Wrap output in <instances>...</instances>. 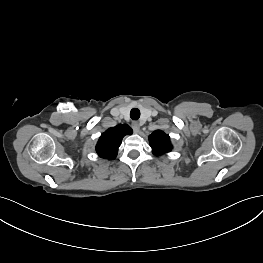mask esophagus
Here are the masks:
<instances>
[{
	"label": "esophagus",
	"mask_w": 263,
	"mask_h": 263,
	"mask_svg": "<svg viewBox=\"0 0 263 263\" xmlns=\"http://www.w3.org/2000/svg\"><path fill=\"white\" fill-rule=\"evenodd\" d=\"M131 126H132V129L135 133L139 132L140 124L137 121H133Z\"/></svg>",
	"instance_id": "obj_1"
}]
</instances>
